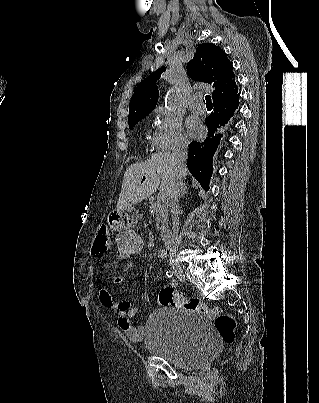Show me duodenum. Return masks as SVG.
<instances>
[{"mask_svg":"<svg viewBox=\"0 0 319 403\" xmlns=\"http://www.w3.org/2000/svg\"><path fill=\"white\" fill-rule=\"evenodd\" d=\"M161 237H162V240H163L165 246H166L168 249H170V247H171V237H170V232H169V230H163V231L161 232Z\"/></svg>","mask_w":319,"mask_h":403,"instance_id":"1","label":"duodenum"}]
</instances>
